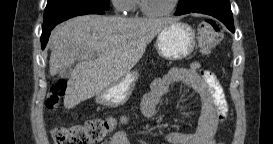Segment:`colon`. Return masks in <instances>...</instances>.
Masks as SVG:
<instances>
[{"instance_id":"obj_1","label":"colon","mask_w":273,"mask_h":144,"mask_svg":"<svg viewBox=\"0 0 273 144\" xmlns=\"http://www.w3.org/2000/svg\"><path fill=\"white\" fill-rule=\"evenodd\" d=\"M221 29L213 19H204L198 29L199 43L203 51H210L221 39ZM67 82L56 81L47 98V107L54 109L59 106L65 95ZM117 125L114 118L92 119L81 125L57 126L51 131L56 144H94L102 141Z\"/></svg>"}]
</instances>
